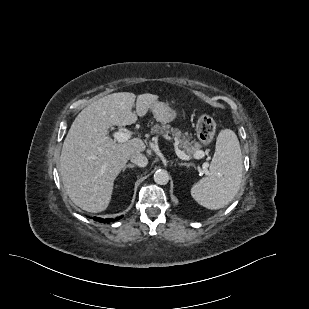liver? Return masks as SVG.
I'll use <instances>...</instances> for the list:
<instances>
[{
	"mask_svg": "<svg viewBox=\"0 0 309 309\" xmlns=\"http://www.w3.org/2000/svg\"><path fill=\"white\" fill-rule=\"evenodd\" d=\"M130 92L109 94L85 107L75 118L64 140L60 156V174L69 198L81 209L98 213L111 200L114 180L128 159L146 146L140 138L123 143L113 141L108 129L126 126L158 101V96Z\"/></svg>",
	"mask_w": 309,
	"mask_h": 309,
	"instance_id": "1",
	"label": "liver"
}]
</instances>
